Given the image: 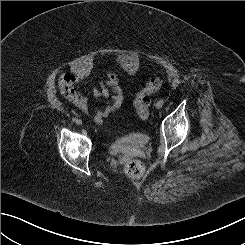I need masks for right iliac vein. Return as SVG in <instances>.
Instances as JSON below:
<instances>
[{
  "label": "right iliac vein",
  "mask_w": 245,
  "mask_h": 245,
  "mask_svg": "<svg viewBox=\"0 0 245 245\" xmlns=\"http://www.w3.org/2000/svg\"><path fill=\"white\" fill-rule=\"evenodd\" d=\"M76 124H77V125H81V124H82V120L77 119Z\"/></svg>",
  "instance_id": "1"
}]
</instances>
